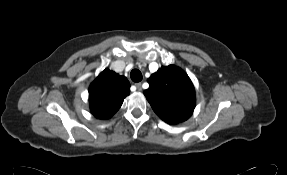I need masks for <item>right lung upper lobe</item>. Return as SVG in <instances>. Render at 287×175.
I'll return each instance as SVG.
<instances>
[{
	"instance_id": "cb5924a9",
	"label": "right lung upper lobe",
	"mask_w": 287,
	"mask_h": 175,
	"mask_svg": "<svg viewBox=\"0 0 287 175\" xmlns=\"http://www.w3.org/2000/svg\"><path fill=\"white\" fill-rule=\"evenodd\" d=\"M130 94V84L125 76L105 69L89 87L91 113L98 119L113 116Z\"/></svg>"
}]
</instances>
